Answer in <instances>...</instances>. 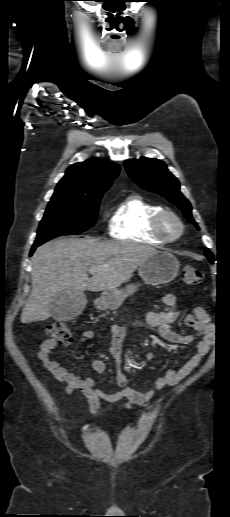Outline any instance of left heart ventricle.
Listing matches in <instances>:
<instances>
[{
  "label": "left heart ventricle",
  "mask_w": 230,
  "mask_h": 517,
  "mask_svg": "<svg viewBox=\"0 0 230 517\" xmlns=\"http://www.w3.org/2000/svg\"><path fill=\"white\" fill-rule=\"evenodd\" d=\"M168 231H169L170 233H173V232H175V231H176V226H175L172 222H169V223H168Z\"/></svg>",
  "instance_id": "b2bd125f"
}]
</instances>
